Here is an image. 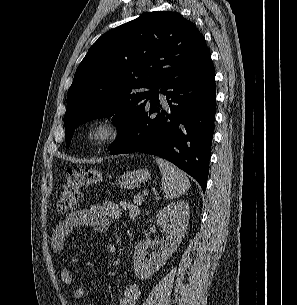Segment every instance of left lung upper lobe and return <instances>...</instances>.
Returning a JSON list of instances; mask_svg holds the SVG:
<instances>
[{"label":"left lung upper lobe","instance_id":"5c2ea615","mask_svg":"<svg viewBox=\"0 0 297 305\" xmlns=\"http://www.w3.org/2000/svg\"><path fill=\"white\" fill-rule=\"evenodd\" d=\"M211 64L203 35L177 12H148L105 33L88 50L68 90L67 146L80 124L112 117L119 137L111 148L127 136L158 88Z\"/></svg>","mask_w":297,"mask_h":305}]
</instances>
